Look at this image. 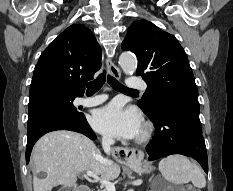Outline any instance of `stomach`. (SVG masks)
I'll use <instances>...</instances> for the list:
<instances>
[{
    "instance_id": "0dacf381",
    "label": "stomach",
    "mask_w": 233,
    "mask_h": 191,
    "mask_svg": "<svg viewBox=\"0 0 233 191\" xmlns=\"http://www.w3.org/2000/svg\"><path fill=\"white\" fill-rule=\"evenodd\" d=\"M130 167L138 173H144L150 171L148 168L143 167L138 161L130 164Z\"/></svg>"
}]
</instances>
